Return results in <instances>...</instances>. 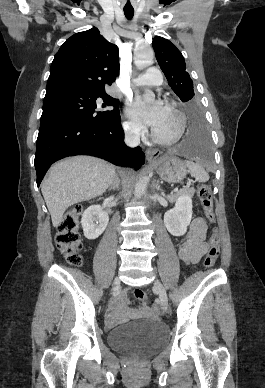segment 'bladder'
Returning a JSON list of instances; mask_svg holds the SVG:
<instances>
[{
	"label": "bladder",
	"instance_id": "obj_1",
	"mask_svg": "<svg viewBox=\"0 0 265 388\" xmlns=\"http://www.w3.org/2000/svg\"><path fill=\"white\" fill-rule=\"evenodd\" d=\"M166 329L153 321L131 322L107 334L109 346L125 352H154L166 342Z\"/></svg>",
	"mask_w": 265,
	"mask_h": 388
}]
</instances>
